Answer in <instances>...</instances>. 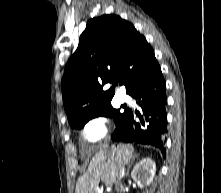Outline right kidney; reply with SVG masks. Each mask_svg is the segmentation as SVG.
<instances>
[{
  "label": "right kidney",
  "instance_id": "ca27d5eb",
  "mask_svg": "<svg viewBox=\"0 0 221 193\" xmlns=\"http://www.w3.org/2000/svg\"><path fill=\"white\" fill-rule=\"evenodd\" d=\"M155 172V162L151 158H144L134 166L131 177L138 186H148L153 181Z\"/></svg>",
  "mask_w": 221,
  "mask_h": 193
}]
</instances>
